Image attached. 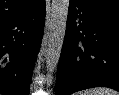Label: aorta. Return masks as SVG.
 <instances>
[{
  "label": "aorta",
  "mask_w": 119,
  "mask_h": 95,
  "mask_svg": "<svg viewBox=\"0 0 119 95\" xmlns=\"http://www.w3.org/2000/svg\"><path fill=\"white\" fill-rule=\"evenodd\" d=\"M69 0H52L50 33L46 55L47 78L56 70L64 42Z\"/></svg>",
  "instance_id": "obj_1"
}]
</instances>
